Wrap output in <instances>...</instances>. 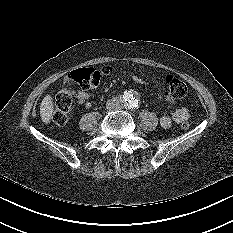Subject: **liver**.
Instances as JSON below:
<instances>
[{"label":"liver","mask_w":233,"mask_h":233,"mask_svg":"<svg viewBox=\"0 0 233 233\" xmlns=\"http://www.w3.org/2000/svg\"><path fill=\"white\" fill-rule=\"evenodd\" d=\"M54 115V104L52 97L46 95L40 105V117L45 124H49Z\"/></svg>","instance_id":"1"}]
</instances>
